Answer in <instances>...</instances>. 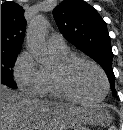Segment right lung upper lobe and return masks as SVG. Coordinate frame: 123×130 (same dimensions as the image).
Here are the masks:
<instances>
[{
  "instance_id": "cb5924a9",
  "label": "right lung upper lobe",
  "mask_w": 123,
  "mask_h": 130,
  "mask_svg": "<svg viewBox=\"0 0 123 130\" xmlns=\"http://www.w3.org/2000/svg\"><path fill=\"white\" fill-rule=\"evenodd\" d=\"M24 10L15 2L1 4V51H20L26 21L23 17Z\"/></svg>"
}]
</instances>
